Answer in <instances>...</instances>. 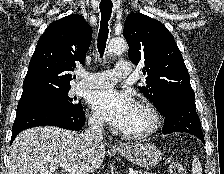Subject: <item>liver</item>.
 <instances>
[{
	"mask_svg": "<svg viewBox=\"0 0 224 174\" xmlns=\"http://www.w3.org/2000/svg\"><path fill=\"white\" fill-rule=\"evenodd\" d=\"M105 146L90 145L81 134L52 126L22 131L10 151L9 174H52L60 164L78 165L85 174L98 169Z\"/></svg>",
	"mask_w": 224,
	"mask_h": 174,
	"instance_id": "6515ba94",
	"label": "liver"
}]
</instances>
